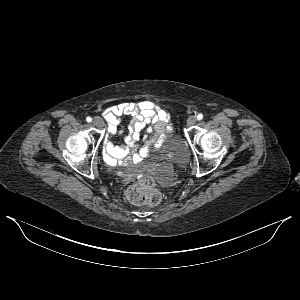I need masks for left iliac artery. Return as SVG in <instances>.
Returning <instances> with one entry per match:
<instances>
[{
	"mask_svg": "<svg viewBox=\"0 0 300 300\" xmlns=\"http://www.w3.org/2000/svg\"><path fill=\"white\" fill-rule=\"evenodd\" d=\"M197 119H198V120H202V119H203V114H201V113L198 114V115H197Z\"/></svg>",
	"mask_w": 300,
	"mask_h": 300,
	"instance_id": "44dca946",
	"label": "left iliac artery"
}]
</instances>
